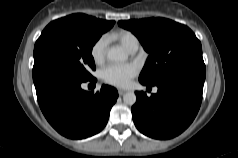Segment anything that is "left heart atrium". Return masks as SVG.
I'll use <instances>...</instances> for the list:
<instances>
[{
	"label": "left heart atrium",
	"mask_w": 238,
	"mask_h": 158,
	"mask_svg": "<svg viewBox=\"0 0 238 158\" xmlns=\"http://www.w3.org/2000/svg\"><path fill=\"white\" fill-rule=\"evenodd\" d=\"M138 73V67L133 63L110 64L102 71L104 81L116 87H126Z\"/></svg>",
	"instance_id": "obj_1"
}]
</instances>
